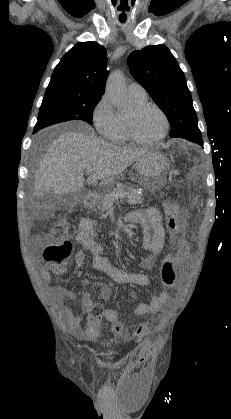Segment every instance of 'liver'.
Segmentation results:
<instances>
[{
  "instance_id": "1",
  "label": "liver",
  "mask_w": 231,
  "mask_h": 419,
  "mask_svg": "<svg viewBox=\"0 0 231 419\" xmlns=\"http://www.w3.org/2000/svg\"><path fill=\"white\" fill-rule=\"evenodd\" d=\"M148 152L147 149L115 146L88 132H65L52 142L41 160L34 182L35 192L43 195L77 192L84 185L83 174L88 169L92 170V175L87 178V184L98 180L111 182Z\"/></svg>"
}]
</instances>
